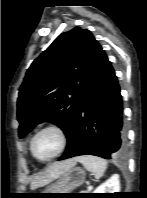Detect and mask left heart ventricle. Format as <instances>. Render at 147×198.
Listing matches in <instances>:
<instances>
[{
	"label": "left heart ventricle",
	"mask_w": 147,
	"mask_h": 198,
	"mask_svg": "<svg viewBox=\"0 0 147 198\" xmlns=\"http://www.w3.org/2000/svg\"><path fill=\"white\" fill-rule=\"evenodd\" d=\"M60 146L56 132L45 131L38 135L33 143V150L38 158L46 159L52 156Z\"/></svg>",
	"instance_id": "obj_1"
}]
</instances>
